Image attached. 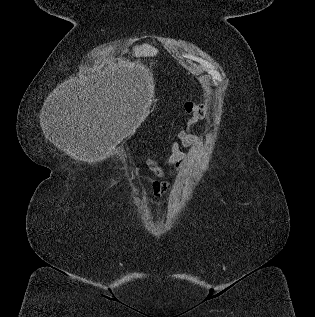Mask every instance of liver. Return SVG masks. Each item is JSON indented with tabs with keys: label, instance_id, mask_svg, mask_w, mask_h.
<instances>
[{
	"label": "liver",
	"instance_id": "6515ba94",
	"mask_svg": "<svg viewBox=\"0 0 315 317\" xmlns=\"http://www.w3.org/2000/svg\"><path fill=\"white\" fill-rule=\"evenodd\" d=\"M158 54V50L153 47H139L135 49V56L141 57V56H148L153 57Z\"/></svg>",
	"mask_w": 315,
	"mask_h": 317
}]
</instances>
